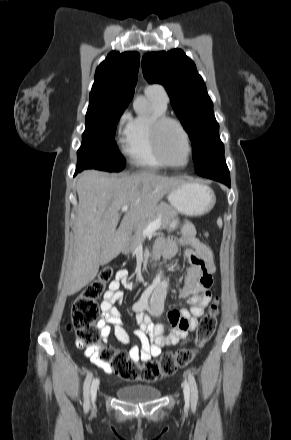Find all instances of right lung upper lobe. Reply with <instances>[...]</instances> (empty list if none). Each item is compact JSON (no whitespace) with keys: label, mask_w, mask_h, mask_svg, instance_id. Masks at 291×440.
Instances as JSON below:
<instances>
[{"label":"right lung upper lobe","mask_w":291,"mask_h":440,"mask_svg":"<svg viewBox=\"0 0 291 440\" xmlns=\"http://www.w3.org/2000/svg\"><path fill=\"white\" fill-rule=\"evenodd\" d=\"M139 62L138 52L109 53L96 69L89 105H128L134 95Z\"/></svg>","instance_id":"obj_1"}]
</instances>
